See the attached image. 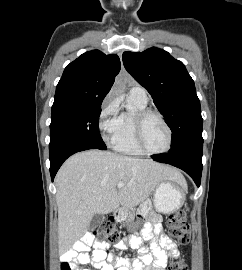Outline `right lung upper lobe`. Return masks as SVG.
Returning <instances> with one entry per match:
<instances>
[{"label": "right lung upper lobe", "instance_id": "obj_1", "mask_svg": "<svg viewBox=\"0 0 242 270\" xmlns=\"http://www.w3.org/2000/svg\"><path fill=\"white\" fill-rule=\"evenodd\" d=\"M119 71L120 60L115 54L99 50L82 54L65 68L53 106L101 104Z\"/></svg>", "mask_w": 242, "mask_h": 270}]
</instances>
